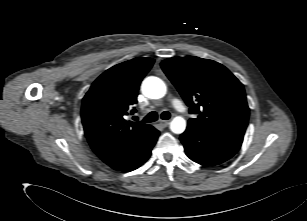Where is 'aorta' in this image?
I'll use <instances>...</instances> for the list:
<instances>
[{
	"instance_id": "obj_1",
	"label": "aorta",
	"mask_w": 307,
	"mask_h": 221,
	"mask_svg": "<svg viewBox=\"0 0 307 221\" xmlns=\"http://www.w3.org/2000/svg\"><path fill=\"white\" fill-rule=\"evenodd\" d=\"M142 93L150 99H160L166 94V85L158 77H147L142 82ZM170 129L175 134H181L186 129V121L183 117L177 116L170 123Z\"/></svg>"
}]
</instances>
